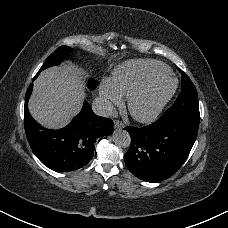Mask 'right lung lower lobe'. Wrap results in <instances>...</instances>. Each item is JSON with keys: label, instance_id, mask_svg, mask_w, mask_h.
Here are the masks:
<instances>
[{"label": "right lung lower lobe", "instance_id": "98d812e1", "mask_svg": "<svg viewBox=\"0 0 228 228\" xmlns=\"http://www.w3.org/2000/svg\"><path fill=\"white\" fill-rule=\"evenodd\" d=\"M38 74L34 77V80ZM33 83L27 89L24 106L25 132L35 155L51 170L67 172L85 166L93 157L98 138L113 132V121L97 116L84 102L81 112L70 124L58 130H43L28 111V100Z\"/></svg>", "mask_w": 228, "mask_h": 228}]
</instances>
